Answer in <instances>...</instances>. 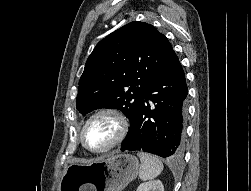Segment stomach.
<instances>
[{
    "instance_id": "obj_1",
    "label": "stomach",
    "mask_w": 251,
    "mask_h": 191,
    "mask_svg": "<svg viewBox=\"0 0 251 191\" xmlns=\"http://www.w3.org/2000/svg\"><path fill=\"white\" fill-rule=\"evenodd\" d=\"M139 161L131 153H109L93 163H71L65 169L59 191H121L139 173Z\"/></svg>"
}]
</instances>
